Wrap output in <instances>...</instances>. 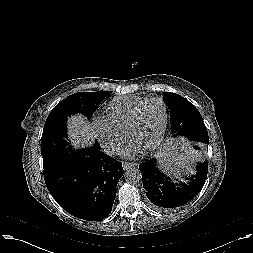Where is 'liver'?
Listing matches in <instances>:
<instances>
[{"instance_id":"obj_1","label":"liver","mask_w":253,"mask_h":253,"mask_svg":"<svg viewBox=\"0 0 253 253\" xmlns=\"http://www.w3.org/2000/svg\"><path fill=\"white\" fill-rule=\"evenodd\" d=\"M68 130L74 144H89L93 139L91 126L81 115L69 119Z\"/></svg>"}]
</instances>
